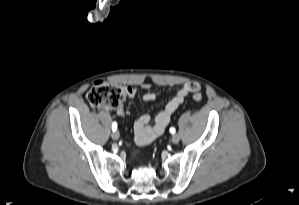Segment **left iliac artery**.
Wrapping results in <instances>:
<instances>
[{"instance_id":"44dca946","label":"left iliac artery","mask_w":299,"mask_h":205,"mask_svg":"<svg viewBox=\"0 0 299 205\" xmlns=\"http://www.w3.org/2000/svg\"><path fill=\"white\" fill-rule=\"evenodd\" d=\"M170 132H171V133H175V128H173V127L170 128Z\"/></svg>"}]
</instances>
